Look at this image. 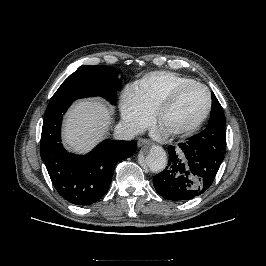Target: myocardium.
<instances>
[{
	"mask_svg": "<svg viewBox=\"0 0 266 266\" xmlns=\"http://www.w3.org/2000/svg\"><path fill=\"white\" fill-rule=\"evenodd\" d=\"M194 86L203 89L206 93L207 106H206L204 112L195 121H193L192 123H190L186 126L174 128L171 130H165L168 134H170V135H182V134H187V133L193 132L209 116L211 109H212V103H213L211 92L208 89V87L205 86L204 84L196 82V81H192V82L183 83V84H180V85L174 87L162 98V100L158 103V105L156 106V108L153 112L154 120L157 124H159V121H160V118H161L163 112L174 103V101L177 99V97L180 95V93H182L187 88L194 87Z\"/></svg>",
	"mask_w": 266,
	"mask_h": 266,
	"instance_id": "myocardium-1",
	"label": "myocardium"
}]
</instances>
